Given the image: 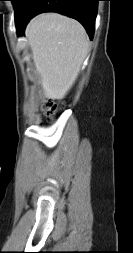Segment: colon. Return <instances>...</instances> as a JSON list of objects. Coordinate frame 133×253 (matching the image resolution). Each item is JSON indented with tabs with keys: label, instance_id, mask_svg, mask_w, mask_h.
<instances>
[{
	"label": "colon",
	"instance_id": "obj_1",
	"mask_svg": "<svg viewBox=\"0 0 133 253\" xmlns=\"http://www.w3.org/2000/svg\"><path fill=\"white\" fill-rule=\"evenodd\" d=\"M58 107H59V105L57 102H55L54 100H48L44 106L46 116L49 119L52 118L54 116V114L56 113Z\"/></svg>",
	"mask_w": 133,
	"mask_h": 253
}]
</instances>
